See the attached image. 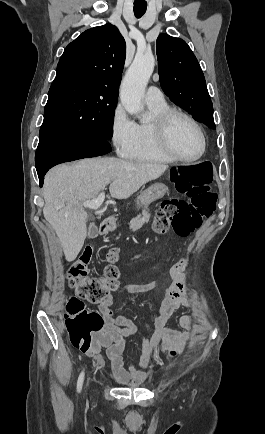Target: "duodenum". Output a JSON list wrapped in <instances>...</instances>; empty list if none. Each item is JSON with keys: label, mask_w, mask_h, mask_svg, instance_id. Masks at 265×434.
I'll return each instance as SVG.
<instances>
[{"label": "duodenum", "mask_w": 265, "mask_h": 434, "mask_svg": "<svg viewBox=\"0 0 265 434\" xmlns=\"http://www.w3.org/2000/svg\"><path fill=\"white\" fill-rule=\"evenodd\" d=\"M114 230V224L110 221H105L100 227V231L103 233H108Z\"/></svg>", "instance_id": "1"}]
</instances>
